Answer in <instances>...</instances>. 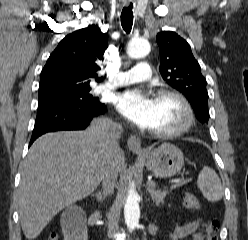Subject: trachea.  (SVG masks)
I'll return each mask as SVG.
<instances>
[{
  "label": "trachea",
  "mask_w": 248,
  "mask_h": 240,
  "mask_svg": "<svg viewBox=\"0 0 248 240\" xmlns=\"http://www.w3.org/2000/svg\"><path fill=\"white\" fill-rule=\"evenodd\" d=\"M133 4L124 7L121 13V25L126 33H130L133 25Z\"/></svg>",
  "instance_id": "trachea-1"
}]
</instances>
